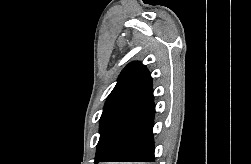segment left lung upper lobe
I'll return each mask as SVG.
<instances>
[{
	"label": "left lung upper lobe",
	"instance_id": "5c2ea615",
	"mask_svg": "<svg viewBox=\"0 0 251 164\" xmlns=\"http://www.w3.org/2000/svg\"><path fill=\"white\" fill-rule=\"evenodd\" d=\"M152 88V77L138 61L128 64L109 94L100 118V139L95 164L106 160L112 153L114 140L124 118L136 102Z\"/></svg>",
	"mask_w": 251,
	"mask_h": 164
}]
</instances>
